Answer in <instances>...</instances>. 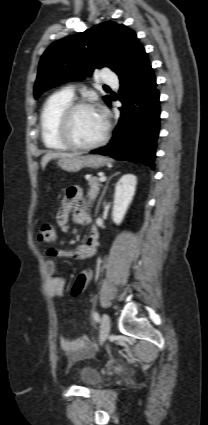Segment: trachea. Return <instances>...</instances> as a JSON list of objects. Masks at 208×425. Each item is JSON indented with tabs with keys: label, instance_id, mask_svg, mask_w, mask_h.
I'll list each match as a JSON object with an SVG mask.
<instances>
[{
	"label": "trachea",
	"instance_id": "trachea-1",
	"mask_svg": "<svg viewBox=\"0 0 208 425\" xmlns=\"http://www.w3.org/2000/svg\"><path fill=\"white\" fill-rule=\"evenodd\" d=\"M105 88H109L108 86H104Z\"/></svg>",
	"mask_w": 208,
	"mask_h": 425
}]
</instances>
